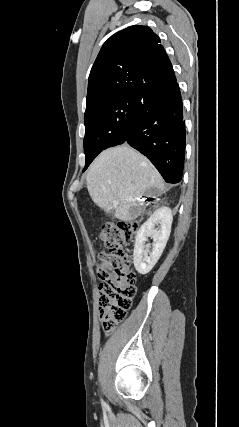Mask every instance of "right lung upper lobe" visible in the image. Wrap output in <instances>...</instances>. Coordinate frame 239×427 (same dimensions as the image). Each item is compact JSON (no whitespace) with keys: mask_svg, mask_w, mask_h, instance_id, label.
I'll use <instances>...</instances> for the list:
<instances>
[{"mask_svg":"<svg viewBox=\"0 0 239 427\" xmlns=\"http://www.w3.org/2000/svg\"><path fill=\"white\" fill-rule=\"evenodd\" d=\"M175 79L160 38L147 26H130L103 44L89 75L86 107L122 96L140 97Z\"/></svg>","mask_w":239,"mask_h":427,"instance_id":"1","label":"right lung upper lobe"}]
</instances>
